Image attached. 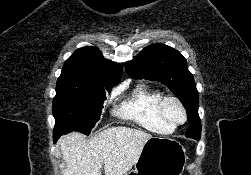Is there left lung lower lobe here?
<instances>
[{
  "label": "left lung lower lobe",
  "mask_w": 251,
  "mask_h": 175,
  "mask_svg": "<svg viewBox=\"0 0 251 175\" xmlns=\"http://www.w3.org/2000/svg\"><path fill=\"white\" fill-rule=\"evenodd\" d=\"M188 119H189V114L187 113Z\"/></svg>",
  "instance_id": "0a47b994"
}]
</instances>
